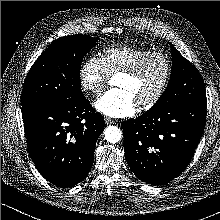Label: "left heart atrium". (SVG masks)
I'll return each instance as SVG.
<instances>
[{
    "mask_svg": "<svg viewBox=\"0 0 220 220\" xmlns=\"http://www.w3.org/2000/svg\"><path fill=\"white\" fill-rule=\"evenodd\" d=\"M137 102L133 95L126 89L114 88L107 91L96 102L95 108L102 114L121 118L135 113Z\"/></svg>",
    "mask_w": 220,
    "mask_h": 220,
    "instance_id": "39dd6f15",
    "label": "left heart atrium"
}]
</instances>
